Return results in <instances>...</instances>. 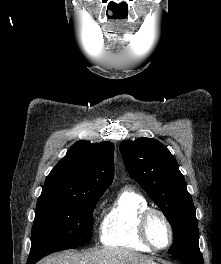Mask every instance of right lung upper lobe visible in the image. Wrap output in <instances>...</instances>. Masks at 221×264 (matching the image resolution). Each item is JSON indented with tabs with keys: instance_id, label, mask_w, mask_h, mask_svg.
<instances>
[{
	"instance_id": "1",
	"label": "right lung upper lobe",
	"mask_w": 221,
	"mask_h": 264,
	"mask_svg": "<svg viewBox=\"0 0 221 264\" xmlns=\"http://www.w3.org/2000/svg\"><path fill=\"white\" fill-rule=\"evenodd\" d=\"M113 153L111 142H76L47 176L41 196L103 194L114 178Z\"/></svg>"
}]
</instances>
